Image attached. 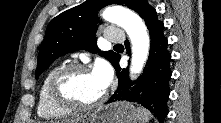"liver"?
<instances>
[{
	"mask_svg": "<svg viewBox=\"0 0 221 123\" xmlns=\"http://www.w3.org/2000/svg\"><path fill=\"white\" fill-rule=\"evenodd\" d=\"M75 120H72L71 122H74ZM65 123H69V121H66Z\"/></svg>",
	"mask_w": 221,
	"mask_h": 123,
	"instance_id": "1",
	"label": "liver"
}]
</instances>
